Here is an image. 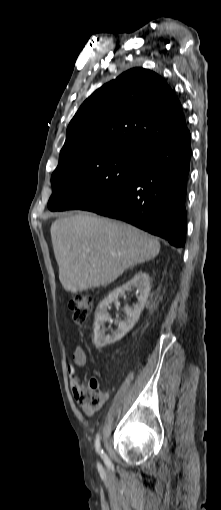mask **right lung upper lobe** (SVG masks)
<instances>
[{
  "instance_id": "right-lung-upper-lobe-1",
  "label": "right lung upper lobe",
  "mask_w": 221,
  "mask_h": 510,
  "mask_svg": "<svg viewBox=\"0 0 221 510\" xmlns=\"http://www.w3.org/2000/svg\"><path fill=\"white\" fill-rule=\"evenodd\" d=\"M189 132L181 103L155 72L133 68L96 90L67 128L59 162L109 149L152 145Z\"/></svg>"
}]
</instances>
